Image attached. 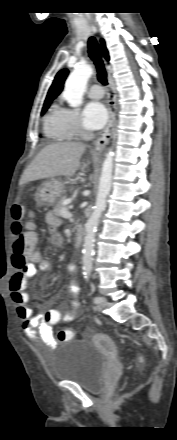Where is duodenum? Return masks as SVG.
Masks as SVG:
<instances>
[{
	"label": "duodenum",
	"instance_id": "410a0bca",
	"mask_svg": "<svg viewBox=\"0 0 177 440\" xmlns=\"http://www.w3.org/2000/svg\"><path fill=\"white\" fill-rule=\"evenodd\" d=\"M84 239V231L82 227H77L74 232V246L80 248Z\"/></svg>",
	"mask_w": 177,
	"mask_h": 440
}]
</instances>
